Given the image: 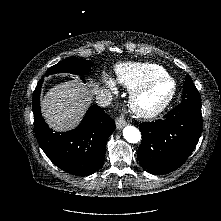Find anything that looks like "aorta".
<instances>
[{"label":"aorta","instance_id":"aorta-1","mask_svg":"<svg viewBox=\"0 0 221 221\" xmlns=\"http://www.w3.org/2000/svg\"><path fill=\"white\" fill-rule=\"evenodd\" d=\"M123 136L125 140L129 143H138L141 140L140 131L134 126H126L123 129Z\"/></svg>","mask_w":221,"mask_h":221}]
</instances>
